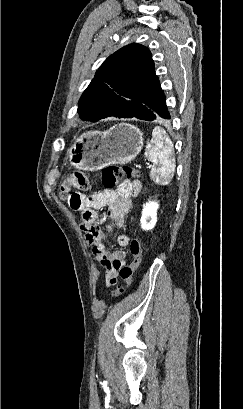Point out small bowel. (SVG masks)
<instances>
[{"mask_svg":"<svg viewBox=\"0 0 243 409\" xmlns=\"http://www.w3.org/2000/svg\"><path fill=\"white\" fill-rule=\"evenodd\" d=\"M141 191L139 181H125L114 190H105L85 195L76 193L79 200L74 210L81 211L80 227L85 233V238L92 245V253L104 268L105 285L113 286L119 279L120 269L126 265V252L123 250H111L106 244L107 235L101 230L97 211L106 208V216L112 221L108 226L111 233L113 227L122 228L125 216L131 209L132 199ZM117 242L121 247H126L130 239L125 234L117 236Z\"/></svg>","mask_w":243,"mask_h":409,"instance_id":"small-bowel-1","label":"small bowel"}]
</instances>
